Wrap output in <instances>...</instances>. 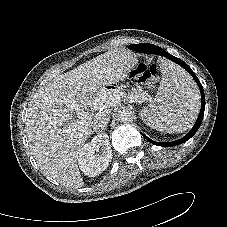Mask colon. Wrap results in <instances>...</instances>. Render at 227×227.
<instances>
[{
    "label": "colon",
    "instance_id": "1",
    "mask_svg": "<svg viewBox=\"0 0 227 227\" xmlns=\"http://www.w3.org/2000/svg\"><path fill=\"white\" fill-rule=\"evenodd\" d=\"M130 78L135 83L153 84L157 78V67L155 65L147 66L139 63L130 71Z\"/></svg>",
    "mask_w": 227,
    "mask_h": 227
}]
</instances>
